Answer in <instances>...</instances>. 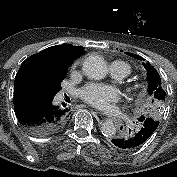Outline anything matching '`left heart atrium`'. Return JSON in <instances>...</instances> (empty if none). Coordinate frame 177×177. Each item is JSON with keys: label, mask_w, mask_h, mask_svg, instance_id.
I'll return each instance as SVG.
<instances>
[{"label": "left heart atrium", "mask_w": 177, "mask_h": 177, "mask_svg": "<svg viewBox=\"0 0 177 177\" xmlns=\"http://www.w3.org/2000/svg\"><path fill=\"white\" fill-rule=\"evenodd\" d=\"M80 97L88 104L105 110L120 99V92L110 85L89 84L80 91Z\"/></svg>", "instance_id": "obj_1"}]
</instances>
